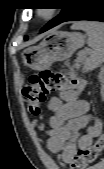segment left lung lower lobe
<instances>
[{"label":"left lung lower lobe","mask_w":104,"mask_h":169,"mask_svg":"<svg viewBox=\"0 0 104 169\" xmlns=\"http://www.w3.org/2000/svg\"><path fill=\"white\" fill-rule=\"evenodd\" d=\"M76 20H90L104 22L103 1L79 0L76 9L63 22ZM44 31L46 30L42 29L40 32Z\"/></svg>","instance_id":"1"}]
</instances>
